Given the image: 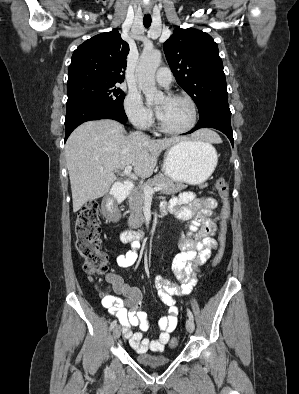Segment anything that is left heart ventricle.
Here are the masks:
<instances>
[{
  "label": "left heart ventricle",
  "instance_id": "obj_1",
  "mask_svg": "<svg viewBox=\"0 0 299 394\" xmlns=\"http://www.w3.org/2000/svg\"><path fill=\"white\" fill-rule=\"evenodd\" d=\"M157 107L162 122L169 128H184L192 120L191 107L184 100H171L164 97L157 101Z\"/></svg>",
  "mask_w": 299,
  "mask_h": 394
}]
</instances>
